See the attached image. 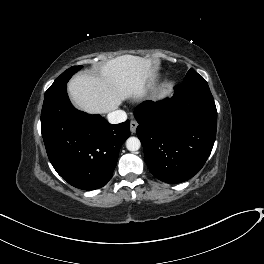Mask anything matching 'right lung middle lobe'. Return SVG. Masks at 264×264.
Segmentation results:
<instances>
[{
	"label": "right lung middle lobe",
	"mask_w": 264,
	"mask_h": 264,
	"mask_svg": "<svg viewBox=\"0 0 264 264\" xmlns=\"http://www.w3.org/2000/svg\"><path fill=\"white\" fill-rule=\"evenodd\" d=\"M82 68V66H73L69 69H67L66 71H64L54 82L53 84L50 86V88L46 91L45 95H48L54 91H56L57 89L63 87L64 85H66V83L68 82V80L71 78V76L73 74H75L78 70H80Z\"/></svg>",
	"instance_id": "dd1d6c3e"
}]
</instances>
